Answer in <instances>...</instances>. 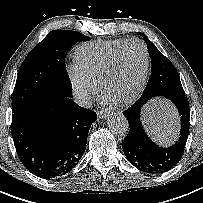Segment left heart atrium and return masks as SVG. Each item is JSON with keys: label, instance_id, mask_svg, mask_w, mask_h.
<instances>
[{"label": "left heart atrium", "instance_id": "1", "mask_svg": "<svg viewBox=\"0 0 203 203\" xmlns=\"http://www.w3.org/2000/svg\"><path fill=\"white\" fill-rule=\"evenodd\" d=\"M103 101H104V103H110V102H112V99L108 96H105Z\"/></svg>", "mask_w": 203, "mask_h": 203}]
</instances>
